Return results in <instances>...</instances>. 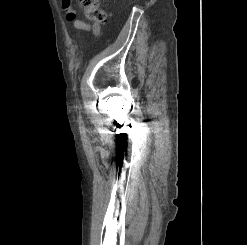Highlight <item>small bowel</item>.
Instances as JSON below:
<instances>
[{"mask_svg":"<svg viewBox=\"0 0 247 245\" xmlns=\"http://www.w3.org/2000/svg\"><path fill=\"white\" fill-rule=\"evenodd\" d=\"M64 10L66 12V18L73 22V27L77 30H83L91 32L95 36L100 34V25L99 24H88L82 20L76 19L75 12L71 8V0H62Z\"/></svg>","mask_w":247,"mask_h":245,"instance_id":"1","label":"small bowel"}]
</instances>
